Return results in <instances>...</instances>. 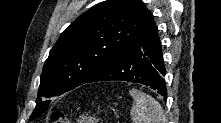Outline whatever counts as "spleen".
I'll use <instances>...</instances> for the list:
<instances>
[{"instance_id":"spleen-1","label":"spleen","mask_w":221,"mask_h":123,"mask_svg":"<svg viewBox=\"0 0 221 123\" xmlns=\"http://www.w3.org/2000/svg\"><path fill=\"white\" fill-rule=\"evenodd\" d=\"M133 98L131 118L133 123H165V115L161 105L148 94L132 88Z\"/></svg>"}]
</instances>
